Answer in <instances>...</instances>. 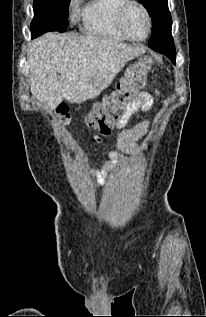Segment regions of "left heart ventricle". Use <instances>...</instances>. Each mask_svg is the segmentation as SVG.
I'll return each mask as SVG.
<instances>
[{"label":"left heart ventricle","mask_w":206,"mask_h":317,"mask_svg":"<svg viewBox=\"0 0 206 317\" xmlns=\"http://www.w3.org/2000/svg\"><path fill=\"white\" fill-rule=\"evenodd\" d=\"M124 26L132 37L143 38L147 33V21L143 11L132 6L126 14Z\"/></svg>","instance_id":"left-heart-ventricle-1"}]
</instances>
